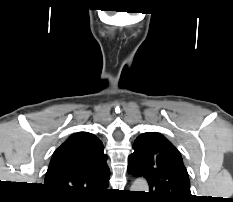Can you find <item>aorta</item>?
<instances>
[{
  "label": "aorta",
  "instance_id": "aorta-1",
  "mask_svg": "<svg viewBox=\"0 0 233 202\" xmlns=\"http://www.w3.org/2000/svg\"><path fill=\"white\" fill-rule=\"evenodd\" d=\"M148 184L145 180H136L131 186V191H147Z\"/></svg>",
  "mask_w": 233,
  "mask_h": 202
}]
</instances>
